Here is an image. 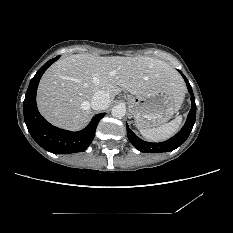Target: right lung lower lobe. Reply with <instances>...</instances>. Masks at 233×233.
I'll list each match as a JSON object with an SVG mask.
<instances>
[{
	"mask_svg": "<svg viewBox=\"0 0 233 233\" xmlns=\"http://www.w3.org/2000/svg\"><path fill=\"white\" fill-rule=\"evenodd\" d=\"M60 56L45 63L32 78L25 95L24 121L32 138L45 150L55 154L82 152L91 144L96 127L106 113L95 115L88 126L79 132L59 129L47 122L39 113L36 105V92L39 81L46 69Z\"/></svg>",
	"mask_w": 233,
	"mask_h": 233,
	"instance_id": "98d812e1",
	"label": "right lung lower lobe"
}]
</instances>
